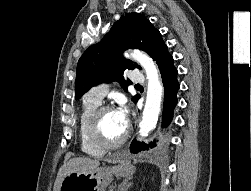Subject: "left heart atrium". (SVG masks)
<instances>
[{
	"label": "left heart atrium",
	"mask_w": 251,
	"mask_h": 191,
	"mask_svg": "<svg viewBox=\"0 0 251 191\" xmlns=\"http://www.w3.org/2000/svg\"><path fill=\"white\" fill-rule=\"evenodd\" d=\"M113 115L115 116L116 120L119 124L123 127L127 125V108L124 105H119L113 111Z\"/></svg>",
	"instance_id": "obj_1"
}]
</instances>
